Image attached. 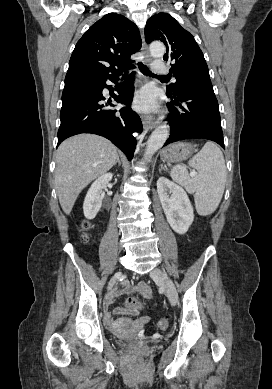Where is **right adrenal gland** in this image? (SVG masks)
Listing matches in <instances>:
<instances>
[{
	"instance_id": "1",
	"label": "right adrenal gland",
	"mask_w": 272,
	"mask_h": 389,
	"mask_svg": "<svg viewBox=\"0 0 272 389\" xmlns=\"http://www.w3.org/2000/svg\"><path fill=\"white\" fill-rule=\"evenodd\" d=\"M117 163H118L119 166L121 165V161H120V159H119V156L117 157V161H116L115 165H116Z\"/></svg>"
}]
</instances>
